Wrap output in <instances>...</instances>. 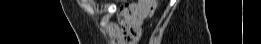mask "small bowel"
<instances>
[{"instance_id": "small-bowel-1", "label": "small bowel", "mask_w": 261, "mask_h": 44, "mask_svg": "<svg viewBox=\"0 0 261 44\" xmlns=\"http://www.w3.org/2000/svg\"><path fill=\"white\" fill-rule=\"evenodd\" d=\"M147 15L146 6L140 1L121 10L118 31L123 41L135 43L138 40L143 20Z\"/></svg>"}]
</instances>
